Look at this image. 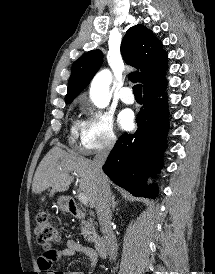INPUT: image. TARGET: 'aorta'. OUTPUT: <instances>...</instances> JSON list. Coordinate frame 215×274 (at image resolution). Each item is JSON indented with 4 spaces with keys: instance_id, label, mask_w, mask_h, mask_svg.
<instances>
[{
    "instance_id": "762f6f07",
    "label": "aorta",
    "mask_w": 215,
    "mask_h": 274,
    "mask_svg": "<svg viewBox=\"0 0 215 274\" xmlns=\"http://www.w3.org/2000/svg\"><path fill=\"white\" fill-rule=\"evenodd\" d=\"M111 72L102 70L92 80L90 87V96L93 103L98 108H105L111 99L109 94Z\"/></svg>"
}]
</instances>
